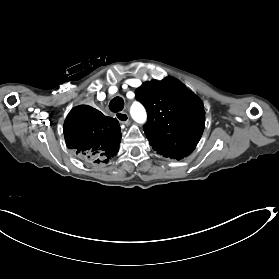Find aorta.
<instances>
[{
  "instance_id": "1",
  "label": "aorta",
  "mask_w": 279,
  "mask_h": 279,
  "mask_svg": "<svg viewBox=\"0 0 279 279\" xmlns=\"http://www.w3.org/2000/svg\"><path fill=\"white\" fill-rule=\"evenodd\" d=\"M131 115L134 120L139 123L143 122L145 119V111L143 107L136 103L131 107Z\"/></svg>"
}]
</instances>
